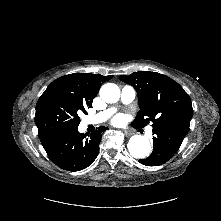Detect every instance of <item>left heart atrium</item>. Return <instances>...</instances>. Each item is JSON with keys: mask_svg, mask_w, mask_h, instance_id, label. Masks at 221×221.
<instances>
[{"mask_svg": "<svg viewBox=\"0 0 221 221\" xmlns=\"http://www.w3.org/2000/svg\"><path fill=\"white\" fill-rule=\"evenodd\" d=\"M123 121H124L123 116H122V115H118V116H116V117L113 119V124H115V125H120V124L123 123Z\"/></svg>", "mask_w": 221, "mask_h": 221, "instance_id": "39dd6f15", "label": "left heart atrium"}]
</instances>
